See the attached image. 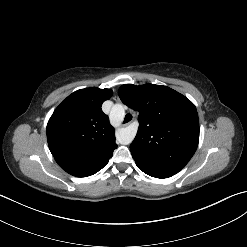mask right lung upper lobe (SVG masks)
Segmentation results:
<instances>
[{"instance_id": "right-lung-upper-lobe-1", "label": "right lung upper lobe", "mask_w": 247, "mask_h": 247, "mask_svg": "<svg viewBox=\"0 0 247 247\" xmlns=\"http://www.w3.org/2000/svg\"><path fill=\"white\" fill-rule=\"evenodd\" d=\"M110 89L85 88L68 96L47 124L49 149L59 166L76 177L102 169L117 148L114 128L101 109Z\"/></svg>"}]
</instances>
